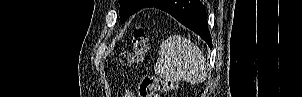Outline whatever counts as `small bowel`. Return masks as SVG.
Returning <instances> with one entry per match:
<instances>
[{"label":"small bowel","mask_w":302,"mask_h":97,"mask_svg":"<svg viewBox=\"0 0 302 97\" xmlns=\"http://www.w3.org/2000/svg\"><path fill=\"white\" fill-rule=\"evenodd\" d=\"M127 96L128 97H134V95L131 92H129Z\"/></svg>","instance_id":"c3829d8e"}]
</instances>
